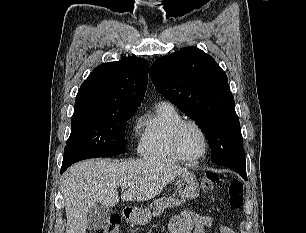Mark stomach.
Returning a JSON list of instances; mask_svg holds the SVG:
<instances>
[{
  "mask_svg": "<svg viewBox=\"0 0 306 233\" xmlns=\"http://www.w3.org/2000/svg\"><path fill=\"white\" fill-rule=\"evenodd\" d=\"M177 190L183 200L197 198L200 192L199 184L194 174L189 173L180 176L176 182ZM152 214L148 209H139L131 216L132 222L136 224H146L151 220Z\"/></svg>",
  "mask_w": 306,
  "mask_h": 233,
  "instance_id": "obj_1",
  "label": "stomach"
}]
</instances>
